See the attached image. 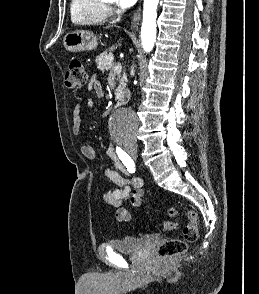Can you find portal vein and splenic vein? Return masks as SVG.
<instances>
[{
  "mask_svg": "<svg viewBox=\"0 0 259 294\" xmlns=\"http://www.w3.org/2000/svg\"><path fill=\"white\" fill-rule=\"evenodd\" d=\"M121 70H122V66H121V64L118 63V64L114 67V71L119 73V72H121Z\"/></svg>",
  "mask_w": 259,
  "mask_h": 294,
  "instance_id": "1",
  "label": "portal vein and splenic vein"
}]
</instances>
